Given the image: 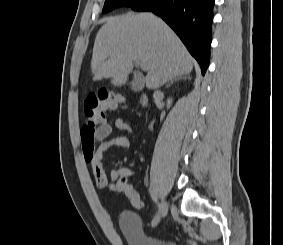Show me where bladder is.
Masks as SVG:
<instances>
[{"mask_svg":"<svg viewBox=\"0 0 283 245\" xmlns=\"http://www.w3.org/2000/svg\"><path fill=\"white\" fill-rule=\"evenodd\" d=\"M119 223L129 245H177L173 239L147 235L143 229L141 217L134 211H122Z\"/></svg>","mask_w":283,"mask_h":245,"instance_id":"bladder-1","label":"bladder"}]
</instances>
